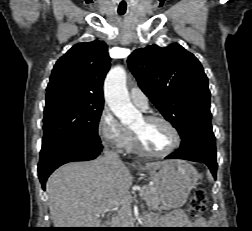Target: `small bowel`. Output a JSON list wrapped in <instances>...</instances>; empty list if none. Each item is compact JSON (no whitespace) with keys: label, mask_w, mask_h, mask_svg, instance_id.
Listing matches in <instances>:
<instances>
[{"label":"small bowel","mask_w":252,"mask_h":231,"mask_svg":"<svg viewBox=\"0 0 252 231\" xmlns=\"http://www.w3.org/2000/svg\"><path fill=\"white\" fill-rule=\"evenodd\" d=\"M165 219L174 222L176 226L182 229L180 231H193L192 229H200L205 225L204 218H200L197 222H191L181 210L167 213Z\"/></svg>","instance_id":"c3829d8e"}]
</instances>
